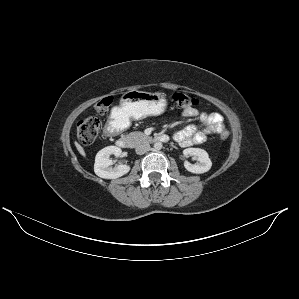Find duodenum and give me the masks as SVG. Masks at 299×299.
<instances>
[{
	"mask_svg": "<svg viewBox=\"0 0 299 299\" xmlns=\"http://www.w3.org/2000/svg\"><path fill=\"white\" fill-rule=\"evenodd\" d=\"M118 131V124L115 119H111L106 127H105V133L106 135H114ZM169 140L168 136L165 134H160L156 137H154V141L156 142H167ZM117 144L121 148H127L129 146V139L127 137H119L117 140Z\"/></svg>",
	"mask_w": 299,
	"mask_h": 299,
	"instance_id": "1",
	"label": "duodenum"
}]
</instances>
